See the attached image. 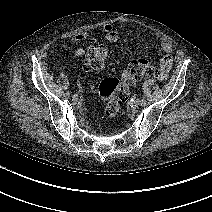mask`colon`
I'll return each mask as SVG.
<instances>
[{
  "label": "colon",
  "mask_w": 212,
  "mask_h": 212,
  "mask_svg": "<svg viewBox=\"0 0 212 212\" xmlns=\"http://www.w3.org/2000/svg\"><path fill=\"white\" fill-rule=\"evenodd\" d=\"M108 58V49L105 45L89 47L84 54L87 67H103ZM159 77V71L147 59L140 58L131 61L123 71L121 81L114 77L105 78L99 85V93L105 99V114L115 118L123 103L127 100L130 87L136 82Z\"/></svg>",
  "instance_id": "1"
}]
</instances>
